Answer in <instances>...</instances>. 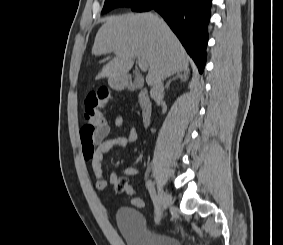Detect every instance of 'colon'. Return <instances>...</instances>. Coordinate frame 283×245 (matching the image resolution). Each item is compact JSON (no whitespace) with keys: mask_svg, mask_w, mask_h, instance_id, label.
<instances>
[{"mask_svg":"<svg viewBox=\"0 0 283 245\" xmlns=\"http://www.w3.org/2000/svg\"><path fill=\"white\" fill-rule=\"evenodd\" d=\"M111 102V96L105 90H100L96 93L89 94L85 100V109L83 112L85 125L99 126L105 122L102 110ZM115 190L118 193H125L130 197L131 204L136 208H144V200L136 193L133 187L129 184L128 178L119 177L115 184Z\"/></svg>","mask_w":283,"mask_h":245,"instance_id":"5ec220e1","label":"colon"}]
</instances>
